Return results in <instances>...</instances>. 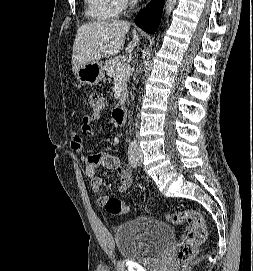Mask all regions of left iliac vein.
<instances>
[{"label":"left iliac vein","mask_w":253,"mask_h":271,"mask_svg":"<svg viewBox=\"0 0 253 271\" xmlns=\"http://www.w3.org/2000/svg\"><path fill=\"white\" fill-rule=\"evenodd\" d=\"M137 164L138 166L142 164V152L140 148H137Z\"/></svg>","instance_id":"1"}]
</instances>
